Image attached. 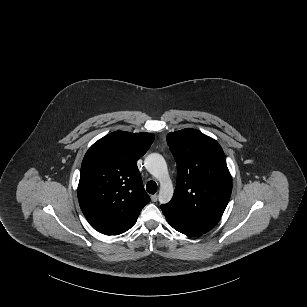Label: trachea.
Returning a JSON list of instances; mask_svg holds the SVG:
<instances>
[{
	"label": "trachea",
	"mask_w": 307,
	"mask_h": 307,
	"mask_svg": "<svg viewBox=\"0 0 307 307\" xmlns=\"http://www.w3.org/2000/svg\"><path fill=\"white\" fill-rule=\"evenodd\" d=\"M146 190L150 194H155L157 191V184L154 181H149L146 185Z\"/></svg>",
	"instance_id": "1"
}]
</instances>
